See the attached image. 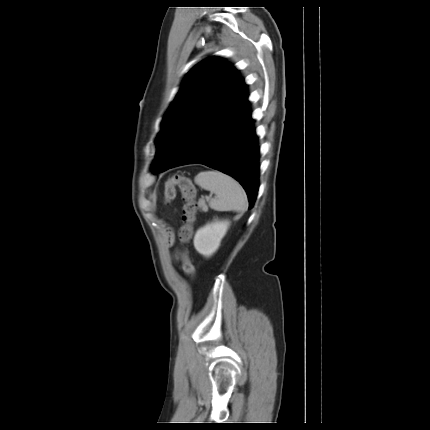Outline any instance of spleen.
<instances>
[{"instance_id": "obj_1", "label": "spleen", "mask_w": 430, "mask_h": 430, "mask_svg": "<svg viewBox=\"0 0 430 430\" xmlns=\"http://www.w3.org/2000/svg\"><path fill=\"white\" fill-rule=\"evenodd\" d=\"M195 183L216 195L210 202L215 210L244 212L248 208L244 189L229 175L219 171H202L196 175Z\"/></svg>"}]
</instances>
